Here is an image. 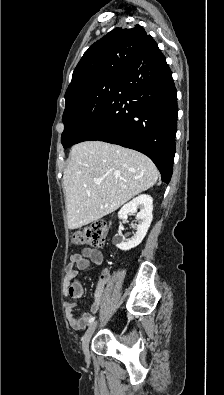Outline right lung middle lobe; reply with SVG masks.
Listing matches in <instances>:
<instances>
[{
  "label": "right lung middle lobe",
  "mask_w": 224,
  "mask_h": 395,
  "mask_svg": "<svg viewBox=\"0 0 224 395\" xmlns=\"http://www.w3.org/2000/svg\"><path fill=\"white\" fill-rule=\"evenodd\" d=\"M121 76L95 81L66 96L63 114L65 129L61 136L64 148H68L85 134L92 120L106 106L119 85Z\"/></svg>",
  "instance_id": "1"
}]
</instances>
